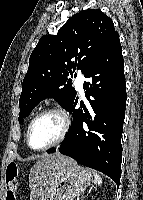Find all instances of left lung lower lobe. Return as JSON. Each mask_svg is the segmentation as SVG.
<instances>
[{
	"label": "left lung lower lobe",
	"instance_id": "0a47b994",
	"mask_svg": "<svg viewBox=\"0 0 143 200\" xmlns=\"http://www.w3.org/2000/svg\"><path fill=\"white\" fill-rule=\"evenodd\" d=\"M89 82L83 88L89 102L75 109V97L69 112L73 115L64 142L48 151L70 156L78 163L96 169L119 185L121 177V137L126 106V82L119 35L84 73Z\"/></svg>",
	"mask_w": 143,
	"mask_h": 200
}]
</instances>
